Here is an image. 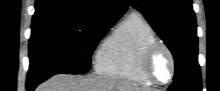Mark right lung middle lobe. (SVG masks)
I'll return each instance as SVG.
<instances>
[{"label":"right lung middle lobe","instance_id":"right-lung-middle-lobe-1","mask_svg":"<svg viewBox=\"0 0 220 91\" xmlns=\"http://www.w3.org/2000/svg\"><path fill=\"white\" fill-rule=\"evenodd\" d=\"M113 25L50 21L32 25L27 82H43L58 73L90 70L91 54Z\"/></svg>","mask_w":220,"mask_h":91}]
</instances>
